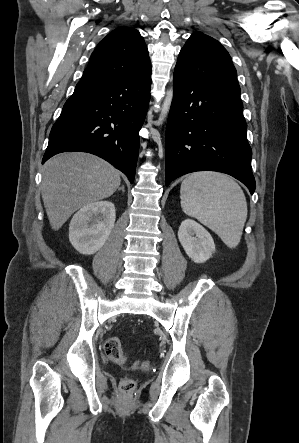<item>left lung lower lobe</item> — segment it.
<instances>
[{
	"instance_id": "left-lung-lower-lobe-1",
	"label": "left lung lower lobe",
	"mask_w": 299,
	"mask_h": 443,
	"mask_svg": "<svg viewBox=\"0 0 299 443\" xmlns=\"http://www.w3.org/2000/svg\"><path fill=\"white\" fill-rule=\"evenodd\" d=\"M239 97L174 72L165 139L166 186L195 171L229 174L255 190L252 151Z\"/></svg>"
}]
</instances>
